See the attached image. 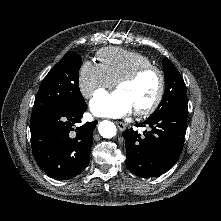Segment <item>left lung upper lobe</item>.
Here are the masks:
<instances>
[{"mask_svg": "<svg viewBox=\"0 0 221 221\" xmlns=\"http://www.w3.org/2000/svg\"><path fill=\"white\" fill-rule=\"evenodd\" d=\"M163 69L166 83L164 96L158 108L151 115L161 114L177 105L187 104L183 78L167 57L163 59Z\"/></svg>", "mask_w": 221, "mask_h": 221, "instance_id": "obj_1", "label": "left lung upper lobe"}]
</instances>
